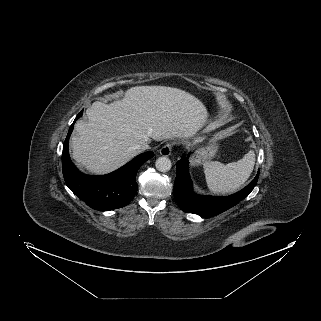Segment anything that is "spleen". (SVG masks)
Here are the masks:
<instances>
[{
    "label": "spleen",
    "mask_w": 321,
    "mask_h": 321,
    "mask_svg": "<svg viewBox=\"0 0 321 321\" xmlns=\"http://www.w3.org/2000/svg\"><path fill=\"white\" fill-rule=\"evenodd\" d=\"M254 164L255 153L252 150L237 162L226 165L218 161H206L203 168L209 190L222 194L237 190L250 177Z\"/></svg>",
    "instance_id": "spleen-1"
}]
</instances>
